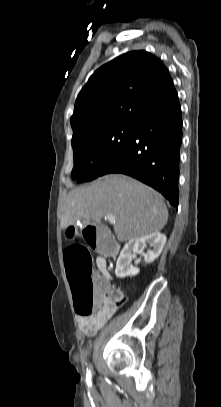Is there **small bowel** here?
<instances>
[{
  "label": "small bowel",
  "instance_id": "small-bowel-1",
  "mask_svg": "<svg viewBox=\"0 0 221 407\" xmlns=\"http://www.w3.org/2000/svg\"><path fill=\"white\" fill-rule=\"evenodd\" d=\"M98 273L96 278L99 285L113 295L123 298V293L111 287L112 276L108 270L106 258L98 256L96 259ZM117 307H104L91 316H78L77 322L80 329L88 336H94L110 319Z\"/></svg>",
  "mask_w": 221,
  "mask_h": 407
}]
</instances>
